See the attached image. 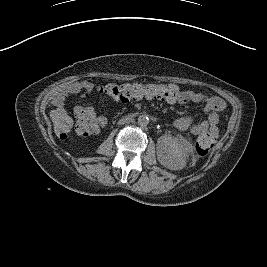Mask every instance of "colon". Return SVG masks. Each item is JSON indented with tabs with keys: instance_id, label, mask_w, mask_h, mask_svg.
Wrapping results in <instances>:
<instances>
[{
	"instance_id": "5ec220e1",
	"label": "colon",
	"mask_w": 267,
	"mask_h": 267,
	"mask_svg": "<svg viewBox=\"0 0 267 267\" xmlns=\"http://www.w3.org/2000/svg\"><path fill=\"white\" fill-rule=\"evenodd\" d=\"M105 95L117 101H129L142 97L157 98L167 102H174L179 98L180 90L174 85L143 84V83H110L102 88ZM77 122L84 125V118L80 111L75 114ZM52 126L58 138H67L74 123L72 118L63 110H58L52 116ZM85 135H88L87 133ZM215 138L209 133L199 134L196 144V153L200 157L209 154L213 147Z\"/></svg>"
}]
</instances>
